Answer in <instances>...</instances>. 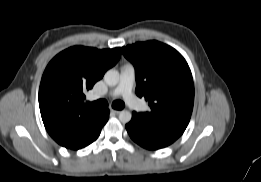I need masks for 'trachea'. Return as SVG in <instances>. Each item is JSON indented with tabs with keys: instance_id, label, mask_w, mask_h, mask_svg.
Returning <instances> with one entry per match:
<instances>
[{
	"instance_id": "trachea-1",
	"label": "trachea",
	"mask_w": 261,
	"mask_h": 182,
	"mask_svg": "<svg viewBox=\"0 0 261 182\" xmlns=\"http://www.w3.org/2000/svg\"><path fill=\"white\" fill-rule=\"evenodd\" d=\"M88 105L92 108L103 109L108 107V102L104 99H100L92 103H88ZM112 107L116 110H122L125 107V104L121 100H116L112 103Z\"/></svg>"
}]
</instances>
